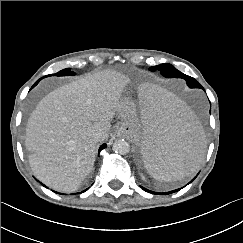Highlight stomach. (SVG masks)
<instances>
[{
	"mask_svg": "<svg viewBox=\"0 0 243 243\" xmlns=\"http://www.w3.org/2000/svg\"><path fill=\"white\" fill-rule=\"evenodd\" d=\"M117 114L121 119L117 127L118 132L130 138L133 142L139 143L141 148L139 118L134 103L129 98H122Z\"/></svg>",
	"mask_w": 243,
	"mask_h": 243,
	"instance_id": "0dacf381",
	"label": "stomach"
}]
</instances>
